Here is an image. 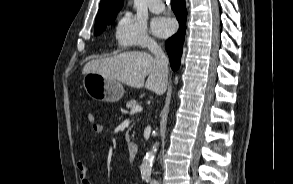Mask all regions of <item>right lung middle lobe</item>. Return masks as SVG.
Instances as JSON below:
<instances>
[{"mask_svg": "<svg viewBox=\"0 0 293 184\" xmlns=\"http://www.w3.org/2000/svg\"><path fill=\"white\" fill-rule=\"evenodd\" d=\"M113 21L111 22H108V23H104V24H101V25H96L95 26V31H94V34L97 36V35H100L105 29H106V26L110 23H112Z\"/></svg>", "mask_w": 293, "mask_h": 184, "instance_id": "1", "label": "right lung middle lobe"}]
</instances>
